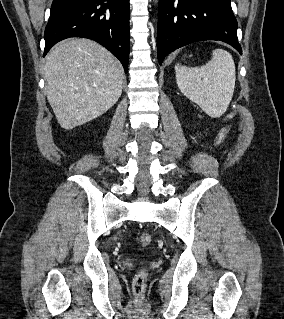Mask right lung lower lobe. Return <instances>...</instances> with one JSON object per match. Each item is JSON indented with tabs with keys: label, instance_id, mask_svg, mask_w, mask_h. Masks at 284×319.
<instances>
[{
	"label": "right lung lower lobe",
	"instance_id": "98d812e1",
	"mask_svg": "<svg viewBox=\"0 0 284 319\" xmlns=\"http://www.w3.org/2000/svg\"><path fill=\"white\" fill-rule=\"evenodd\" d=\"M129 15V0H53L43 56L63 39L83 37L106 47L127 72Z\"/></svg>",
	"mask_w": 284,
	"mask_h": 319
}]
</instances>
